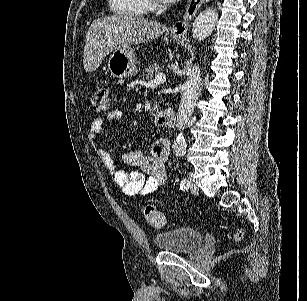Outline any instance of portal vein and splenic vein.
I'll return each mask as SVG.
<instances>
[{
    "instance_id": "1",
    "label": "portal vein and splenic vein",
    "mask_w": 307,
    "mask_h": 301,
    "mask_svg": "<svg viewBox=\"0 0 307 301\" xmlns=\"http://www.w3.org/2000/svg\"><path fill=\"white\" fill-rule=\"evenodd\" d=\"M166 80V74H163V72H158V74H155V78L153 80H149L148 84L149 86H157V84H160V82H165Z\"/></svg>"
}]
</instances>
